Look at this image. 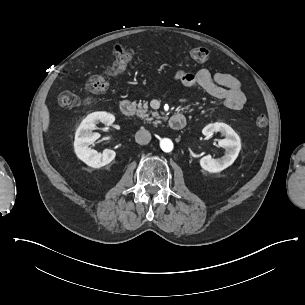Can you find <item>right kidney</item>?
Wrapping results in <instances>:
<instances>
[{"label": "right kidney", "instance_id": "1", "mask_svg": "<svg viewBox=\"0 0 305 305\" xmlns=\"http://www.w3.org/2000/svg\"><path fill=\"white\" fill-rule=\"evenodd\" d=\"M113 122V115L106 112H99L89 115L78 128L74 142V150L78 159L87 166L101 168L115 159L116 152L114 150H103L98 153L89 148V145L98 139L97 136L94 137L91 133V130L96 128V124L104 123L110 126Z\"/></svg>", "mask_w": 305, "mask_h": 305}]
</instances>
